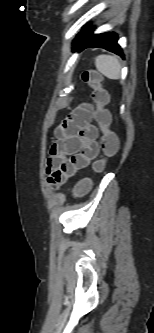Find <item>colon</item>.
<instances>
[{
    "label": "colon",
    "instance_id": "colon-1",
    "mask_svg": "<svg viewBox=\"0 0 154 333\" xmlns=\"http://www.w3.org/2000/svg\"><path fill=\"white\" fill-rule=\"evenodd\" d=\"M82 80L90 87L91 98L96 105L94 118L102 132L101 145L103 156L91 163V173L99 174L105 170L108 159L117 154L119 150V139L117 134L110 129L112 118L109 110L106 108L108 94L101 85V75L95 70H85L82 73ZM91 187V178L88 176L83 177L74 185L73 194L75 197H81L87 194Z\"/></svg>",
    "mask_w": 154,
    "mask_h": 333
}]
</instances>
